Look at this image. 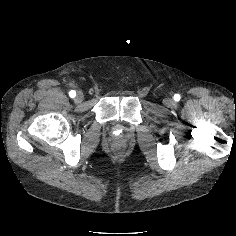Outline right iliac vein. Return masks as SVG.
<instances>
[{
    "mask_svg": "<svg viewBox=\"0 0 236 236\" xmlns=\"http://www.w3.org/2000/svg\"><path fill=\"white\" fill-rule=\"evenodd\" d=\"M83 99H84L83 93L78 92L77 95H76V97H75V102H76V103H81V102L83 101Z\"/></svg>",
    "mask_w": 236,
    "mask_h": 236,
    "instance_id": "1",
    "label": "right iliac vein"
}]
</instances>
